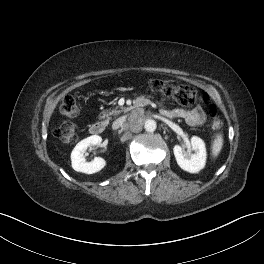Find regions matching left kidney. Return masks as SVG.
<instances>
[{
    "instance_id": "5707ae66",
    "label": "left kidney",
    "mask_w": 264,
    "mask_h": 264,
    "mask_svg": "<svg viewBox=\"0 0 264 264\" xmlns=\"http://www.w3.org/2000/svg\"><path fill=\"white\" fill-rule=\"evenodd\" d=\"M191 148L194 154L186 156L181 146L175 145L173 148L177 164L185 171L197 173L204 168L206 164V147L204 141L196 136L191 138Z\"/></svg>"
}]
</instances>
